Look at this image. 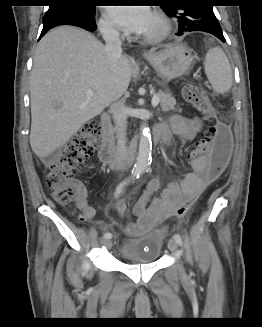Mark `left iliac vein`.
Here are the masks:
<instances>
[{"label":"left iliac vein","instance_id":"1","mask_svg":"<svg viewBox=\"0 0 262 327\" xmlns=\"http://www.w3.org/2000/svg\"><path fill=\"white\" fill-rule=\"evenodd\" d=\"M168 249L175 254L178 250L177 242L174 239H169L168 241ZM180 274L184 275V270L182 267H180Z\"/></svg>","mask_w":262,"mask_h":327}]
</instances>
